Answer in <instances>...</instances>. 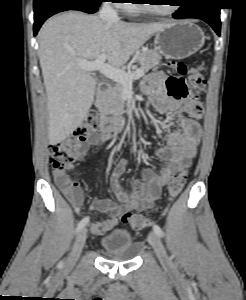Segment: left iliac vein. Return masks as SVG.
<instances>
[{
	"label": "left iliac vein",
	"mask_w": 246,
	"mask_h": 300,
	"mask_svg": "<svg viewBox=\"0 0 246 300\" xmlns=\"http://www.w3.org/2000/svg\"><path fill=\"white\" fill-rule=\"evenodd\" d=\"M148 241L153 247L161 264L165 267H172V262L168 257L159 236L155 232H150L148 235Z\"/></svg>",
	"instance_id": "4c4485c4"
}]
</instances>
